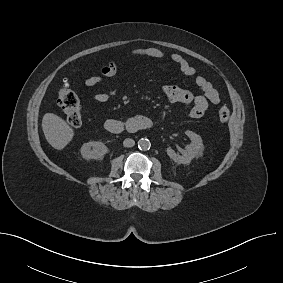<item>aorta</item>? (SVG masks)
<instances>
[{
  "instance_id": "1",
  "label": "aorta",
  "mask_w": 283,
  "mask_h": 283,
  "mask_svg": "<svg viewBox=\"0 0 283 283\" xmlns=\"http://www.w3.org/2000/svg\"><path fill=\"white\" fill-rule=\"evenodd\" d=\"M151 146V143L149 141V139L147 138H141L138 141V147L140 150H148Z\"/></svg>"
}]
</instances>
